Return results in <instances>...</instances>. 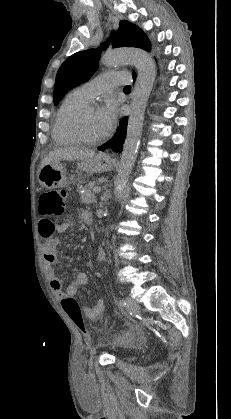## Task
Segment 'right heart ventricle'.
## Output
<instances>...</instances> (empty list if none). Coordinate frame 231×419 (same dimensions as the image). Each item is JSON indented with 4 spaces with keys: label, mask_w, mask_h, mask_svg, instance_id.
Listing matches in <instances>:
<instances>
[{
    "label": "right heart ventricle",
    "mask_w": 231,
    "mask_h": 419,
    "mask_svg": "<svg viewBox=\"0 0 231 419\" xmlns=\"http://www.w3.org/2000/svg\"><path fill=\"white\" fill-rule=\"evenodd\" d=\"M89 102L90 100L86 98L78 90V88L71 91L65 97L55 114L53 122L52 136L56 143L63 145H74L80 142L68 130L67 122L75 111L87 105Z\"/></svg>",
    "instance_id": "obj_1"
}]
</instances>
